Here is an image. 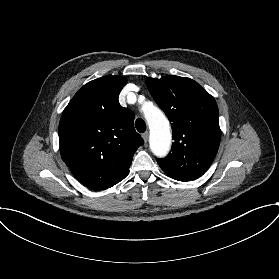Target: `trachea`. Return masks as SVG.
Wrapping results in <instances>:
<instances>
[{
	"label": "trachea",
	"instance_id": "trachea-1",
	"mask_svg": "<svg viewBox=\"0 0 279 279\" xmlns=\"http://www.w3.org/2000/svg\"><path fill=\"white\" fill-rule=\"evenodd\" d=\"M135 127L140 133H144L146 131V123L142 119L136 120Z\"/></svg>",
	"mask_w": 279,
	"mask_h": 279
}]
</instances>
